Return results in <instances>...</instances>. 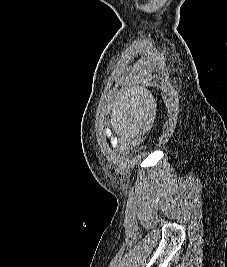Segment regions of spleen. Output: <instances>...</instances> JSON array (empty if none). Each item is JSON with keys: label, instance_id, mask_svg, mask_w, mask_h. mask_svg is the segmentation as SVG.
<instances>
[{"label": "spleen", "instance_id": "spleen-1", "mask_svg": "<svg viewBox=\"0 0 227 267\" xmlns=\"http://www.w3.org/2000/svg\"><path fill=\"white\" fill-rule=\"evenodd\" d=\"M152 101L145 89L133 84L128 85L122 96L125 105L149 106ZM113 115H155V110H143V106H114ZM110 121H115V124H107L106 128L115 129L119 137L139 140L141 134H145V129H151V121H155V116H110Z\"/></svg>", "mask_w": 227, "mask_h": 267}]
</instances>
